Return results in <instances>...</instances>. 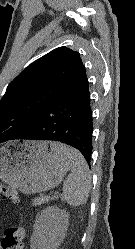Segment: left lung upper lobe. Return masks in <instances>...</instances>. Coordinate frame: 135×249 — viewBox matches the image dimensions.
Masks as SVG:
<instances>
[{"label": "left lung upper lobe", "instance_id": "5c2ea615", "mask_svg": "<svg viewBox=\"0 0 135 249\" xmlns=\"http://www.w3.org/2000/svg\"><path fill=\"white\" fill-rule=\"evenodd\" d=\"M87 79L78 52L58 47L25 68L0 101V143L29 131L39 111Z\"/></svg>", "mask_w": 135, "mask_h": 249}]
</instances>
